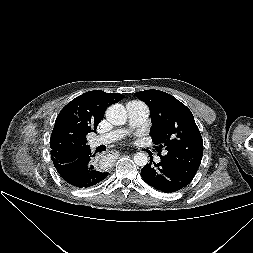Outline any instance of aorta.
<instances>
[{
  "label": "aorta",
  "mask_w": 253,
  "mask_h": 253,
  "mask_svg": "<svg viewBox=\"0 0 253 253\" xmlns=\"http://www.w3.org/2000/svg\"><path fill=\"white\" fill-rule=\"evenodd\" d=\"M106 119L113 125H124L127 120V112L123 105L113 104L106 110ZM134 162L138 166H145L148 162V157L145 153L137 152L134 155Z\"/></svg>",
  "instance_id": "aorta-1"
}]
</instances>
